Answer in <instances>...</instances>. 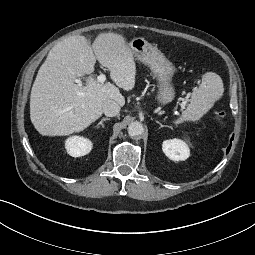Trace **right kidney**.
I'll return each mask as SVG.
<instances>
[{
  "instance_id": "ca27d5eb",
  "label": "right kidney",
  "mask_w": 255,
  "mask_h": 255,
  "mask_svg": "<svg viewBox=\"0 0 255 255\" xmlns=\"http://www.w3.org/2000/svg\"><path fill=\"white\" fill-rule=\"evenodd\" d=\"M65 148L69 155L80 157L91 151L92 142L83 136H72L65 141Z\"/></svg>"
}]
</instances>
